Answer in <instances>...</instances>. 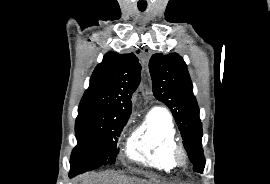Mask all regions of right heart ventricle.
<instances>
[{
  "instance_id": "e07e8e85",
  "label": "right heart ventricle",
  "mask_w": 270,
  "mask_h": 184,
  "mask_svg": "<svg viewBox=\"0 0 270 184\" xmlns=\"http://www.w3.org/2000/svg\"><path fill=\"white\" fill-rule=\"evenodd\" d=\"M177 144V130L171 114L155 107L129 138L126 153L133 161L171 172L176 166L173 151Z\"/></svg>"
}]
</instances>
